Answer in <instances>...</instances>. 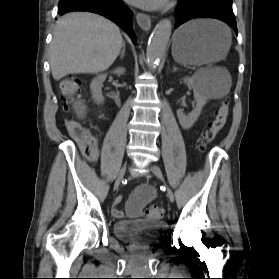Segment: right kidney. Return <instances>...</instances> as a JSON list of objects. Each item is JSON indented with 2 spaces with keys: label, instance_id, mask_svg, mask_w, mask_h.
I'll use <instances>...</instances> for the list:
<instances>
[{
  "label": "right kidney",
  "instance_id": "1",
  "mask_svg": "<svg viewBox=\"0 0 279 279\" xmlns=\"http://www.w3.org/2000/svg\"><path fill=\"white\" fill-rule=\"evenodd\" d=\"M113 73L117 75H123L125 73V68L119 67L116 70L113 71ZM107 77V74H101L95 77L91 84H90V90L92 93V98L97 104H101L104 102V98L102 96V86L103 82L105 81Z\"/></svg>",
  "mask_w": 279,
  "mask_h": 279
}]
</instances>
